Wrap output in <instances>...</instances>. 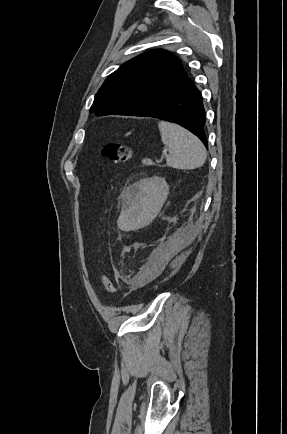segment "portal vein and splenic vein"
<instances>
[{
    "label": "portal vein and splenic vein",
    "instance_id": "1",
    "mask_svg": "<svg viewBox=\"0 0 287 434\" xmlns=\"http://www.w3.org/2000/svg\"><path fill=\"white\" fill-rule=\"evenodd\" d=\"M163 153H164V154H166V153H167V150H166V149H165V150H163Z\"/></svg>",
    "mask_w": 287,
    "mask_h": 434
}]
</instances>
